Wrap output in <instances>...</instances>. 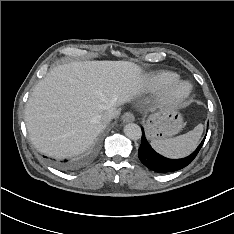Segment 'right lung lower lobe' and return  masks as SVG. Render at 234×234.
Returning a JSON list of instances; mask_svg holds the SVG:
<instances>
[{
	"label": "right lung lower lobe",
	"instance_id": "98d812e1",
	"mask_svg": "<svg viewBox=\"0 0 234 234\" xmlns=\"http://www.w3.org/2000/svg\"><path fill=\"white\" fill-rule=\"evenodd\" d=\"M56 166L64 170H72L78 167V163L75 161L63 160L55 162Z\"/></svg>",
	"mask_w": 234,
	"mask_h": 234
}]
</instances>
